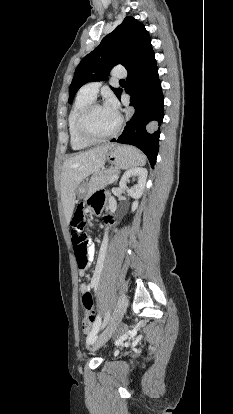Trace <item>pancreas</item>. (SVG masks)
Instances as JSON below:
<instances>
[{
    "instance_id": "cf45deb5",
    "label": "pancreas",
    "mask_w": 233,
    "mask_h": 414,
    "mask_svg": "<svg viewBox=\"0 0 233 414\" xmlns=\"http://www.w3.org/2000/svg\"><path fill=\"white\" fill-rule=\"evenodd\" d=\"M119 173L120 170L116 167H111L109 169L94 173L89 182V193H92L94 190L104 187L110 182L112 177L118 176Z\"/></svg>"
}]
</instances>
